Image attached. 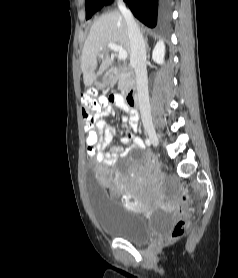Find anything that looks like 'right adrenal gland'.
<instances>
[{"label": "right adrenal gland", "instance_id": "right-adrenal-gland-1", "mask_svg": "<svg viewBox=\"0 0 238 278\" xmlns=\"http://www.w3.org/2000/svg\"><path fill=\"white\" fill-rule=\"evenodd\" d=\"M148 39H145V43H146V48L148 49V43H147Z\"/></svg>", "mask_w": 238, "mask_h": 278}]
</instances>
